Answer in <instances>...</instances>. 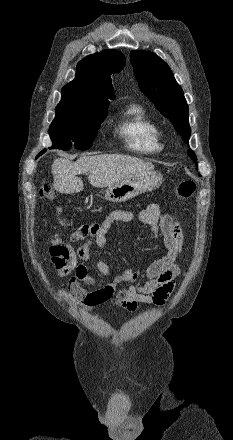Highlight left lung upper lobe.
<instances>
[{"mask_svg": "<svg viewBox=\"0 0 233 440\" xmlns=\"http://www.w3.org/2000/svg\"><path fill=\"white\" fill-rule=\"evenodd\" d=\"M130 60L141 91L155 104L161 114L170 119L188 144L191 135L188 105L169 66L156 54L142 50L132 51ZM187 153L196 162L195 153L191 149Z\"/></svg>", "mask_w": 233, "mask_h": 440, "instance_id": "1", "label": "left lung upper lobe"}]
</instances>
